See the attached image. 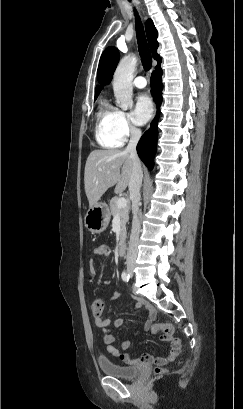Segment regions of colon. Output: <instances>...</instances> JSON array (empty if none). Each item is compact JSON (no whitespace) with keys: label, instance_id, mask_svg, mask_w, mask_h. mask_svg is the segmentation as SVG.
Returning a JSON list of instances; mask_svg holds the SVG:
<instances>
[{"label":"colon","instance_id":"obj_1","mask_svg":"<svg viewBox=\"0 0 243 409\" xmlns=\"http://www.w3.org/2000/svg\"><path fill=\"white\" fill-rule=\"evenodd\" d=\"M91 308H92V312H93L94 315L99 314L102 311V308H103L102 300L101 299H95L92 302ZM159 331H161V332H163L165 334H172V333H174V328H173L172 325L166 324V323H158V324L153 325L152 332L157 333ZM163 371L164 370L162 368H156L155 369V374L160 375V374L163 373Z\"/></svg>","mask_w":243,"mask_h":409}]
</instances>
